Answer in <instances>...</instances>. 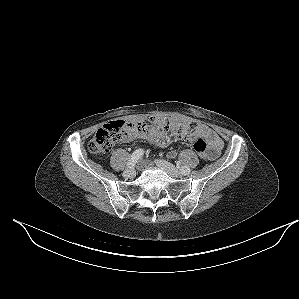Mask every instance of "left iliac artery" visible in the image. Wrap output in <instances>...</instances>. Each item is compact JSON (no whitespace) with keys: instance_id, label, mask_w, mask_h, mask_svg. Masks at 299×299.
Instances as JSON below:
<instances>
[{"instance_id":"obj_1","label":"left iliac artery","mask_w":299,"mask_h":299,"mask_svg":"<svg viewBox=\"0 0 299 299\" xmlns=\"http://www.w3.org/2000/svg\"><path fill=\"white\" fill-rule=\"evenodd\" d=\"M181 172L184 175H188L190 173V168L187 167V166H184V167L181 168Z\"/></svg>"}]
</instances>
